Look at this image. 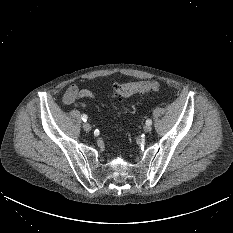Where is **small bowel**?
I'll list each match as a JSON object with an SVG mask.
<instances>
[{
    "mask_svg": "<svg viewBox=\"0 0 233 233\" xmlns=\"http://www.w3.org/2000/svg\"><path fill=\"white\" fill-rule=\"evenodd\" d=\"M94 98V93L89 89H81L79 85L72 84L66 90L63 101L68 105L81 104L86 106V101Z\"/></svg>",
    "mask_w": 233,
    "mask_h": 233,
    "instance_id": "small-bowel-1",
    "label": "small bowel"
}]
</instances>
